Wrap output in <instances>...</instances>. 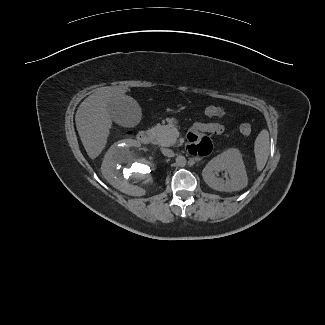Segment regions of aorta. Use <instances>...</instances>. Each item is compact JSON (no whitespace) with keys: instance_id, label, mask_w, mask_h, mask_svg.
<instances>
[{"instance_id":"762f6f07","label":"aorta","mask_w":325,"mask_h":325,"mask_svg":"<svg viewBox=\"0 0 325 325\" xmlns=\"http://www.w3.org/2000/svg\"><path fill=\"white\" fill-rule=\"evenodd\" d=\"M176 163H177V165L183 167V166L186 165L187 161H186V158L184 156L179 155L176 158Z\"/></svg>"}]
</instances>
